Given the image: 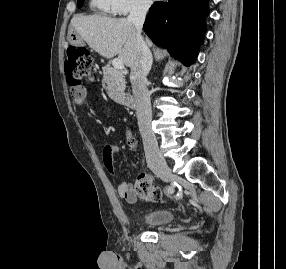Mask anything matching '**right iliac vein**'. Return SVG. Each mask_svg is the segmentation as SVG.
<instances>
[{
  "mask_svg": "<svg viewBox=\"0 0 286 269\" xmlns=\"http://www.w3.org/2000/svg\"><path fill=\"white\" fill-rule=\"evenodd\" d=\"M154 173L165 182H170L174 179V175L168 165L163 162L159 166L153 168Z\"/></svg>",
  "mask_w": 286,
  "mask_h": 269,
  "instance_id": "right-iliac-vein-1",
  "label": "right iliac vein"
}]
</instances>
